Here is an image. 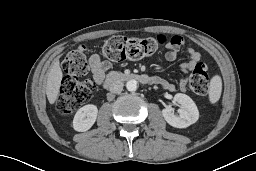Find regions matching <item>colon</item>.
I'll list each match as a JSON object with an SVG mask.
<instances>
[{
  "label": "colon",
  "instance_id": "1",
  "mask_svg": "<svg viewBox=\"0 0 256 171\" xmlns=\"http://www.w3.org/2000/svg\"><path fill=\"white\" fill-rule=\"evenodd\" d=\"M166 37H126L114 36L107 39L103 46V54L112 61L137 60L153 56L160 46L165 44ZM86 46L79 45L70 51L62 62L66 76L62 80L57 99V110L60 114H70L88 102L94 92V84L88 79H80L88 72ZM191 90L198 95L208 91V68L198 63L189 77Z\"/></svg>",
  "mask_w": 256,
  "mask_h": 171
}]
</instances>
